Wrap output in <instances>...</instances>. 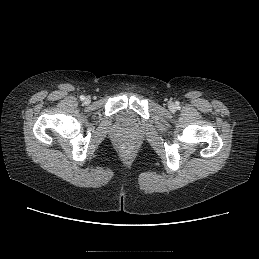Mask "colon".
I'll list each match as a JSON object with an SVG mask.
<instances>
[{
	"label": "colon",
	"instance_id": "1",
	"mask_svg": "<svg viewBox=\"0 0 259 259\" xmlns=\"http://www.w3.org/2000/svg\"><path fill=\"white\" fill-rule=\"evenodd\" d=\"M122 151L125 154H131L133 152V146L130 145V144H124L123 147H122Z\"/></svg>",
	"mask_w": 259,
	"mask_h": 259
}]
</instances>
